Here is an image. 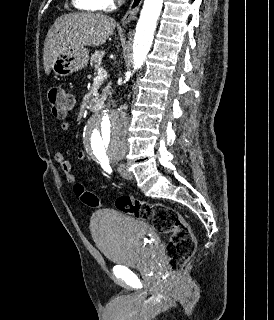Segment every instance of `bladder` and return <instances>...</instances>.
I'll list each match as a JSON object with an SVG mask.
<instances>
[{"mask_svg": "<svg viewBox=\"0 0 274 320\" xmlns=\"http://www.w3.org/2000/svg\"><path fill=\"white\" fill-rule=\"evenodd\" d=\"M89 228L97 248L112 265L146 263L159 245V237L150 224L112 210L96 211Z\"/></svg>", "mask_w": 274, "mask_h": 320, "instance_id": "31cf9c89", "label": "bladder"}]
</instances>
